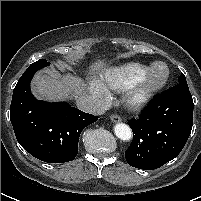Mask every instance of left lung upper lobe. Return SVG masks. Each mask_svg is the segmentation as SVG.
Returning <instances> with one entry per match:
<instances>
[{
	"label": "left lung upper lobe",
	"instance_id": "1",
	"mask_svg": "<svg viewBox=\"0 0 201 201\" xmlns=\"http://www.w3.org/2000/svg\"><path fill=\"white\" fill-rule=\"evenodd\" d=\"M178 84L187 85V81H186V78H185L184 74H181L179 76Z\"/></svg>",
	"mask_w": 201,
	"mask_h": 201
}]
</instances>
